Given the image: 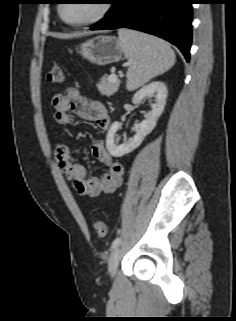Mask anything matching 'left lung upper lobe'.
<instances>
[{"mask_svg":"<svg viewBox=\"0 0 236 321\" xmlns=\"http://www.w3.org/2000/svg\"><path fill=\"white\" fill-rule=\"evenodd\" d=\"M107 1H108V3L112 4L115 0H107ZM50 3H52V2H50Z\"/></svg>","mask_w":236,"mask_h":321,"instance_id":"5c2ea615","label":"left lung upper lobe"}]
</instances>
